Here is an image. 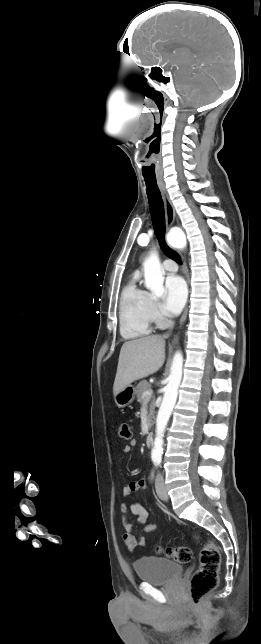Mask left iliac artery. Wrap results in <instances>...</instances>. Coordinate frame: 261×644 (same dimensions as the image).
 <instances>
[{"mask_svg":"<svg viewBox=\"0 0 261 644\" xmlns=\"http://www.w3.org/2000/svg\"><path fill=\"white\" fill-rule=\"evenodd\" d=\"M154 462L156 463V465H159V464H160V462H161V459H160V458H156V459H154Z\"/></svg>","mask_w":261,"mask_h":644,"instance_id":"44dca946","label":"left iliac artery"}]
</instances>
